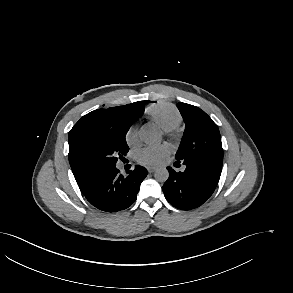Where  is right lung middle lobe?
I'll return each instance as SVG.
<instances>
[{
    "label": "right lung middle lobe",
    "mask_w": 293,
    "mask_h": 293,
    "mask_svg": "<svg viewBox=\"0 0 293 293\" xmlns=\"http://www.w3.org/2000/svg\"><path fill=\"white\" fill-rule=\"evenodd\" d=\"M137 114L138 111L126 113L113 125H90L83 128L76 144L79 158L91 167H114L118 156L122 158L129 150L125 136Z\"/></svg>",
    "instance_id": "obj_1"
}]
</instances>
